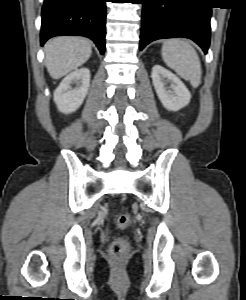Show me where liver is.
<instances>
[{
    "mask_svg": "<svg viewBox=\"0 0 246 300\" xmlns=\"http://www.w3.org/2000/svg\"><path fill=\"white\" fill-rule=\"evenodd\" d=\"M45 65L53 79H59L83 65L91 56L88 40L80 37L60 36L45 45Z\"/></svg>",
    "mask_w": 246,
    "mask_h": 300,
    "instance_id": "1",
    "label": "liver"
}]
</instances>
